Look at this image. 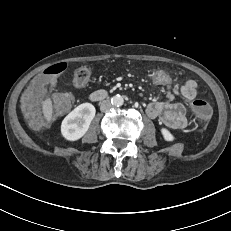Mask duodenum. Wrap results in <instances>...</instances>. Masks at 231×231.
<instances>
[{"label":"duodenum","mask_w":231,"mask_h":231,"mask_svg":"<svg viewBox=\"0 0 231 231\" xmlns=\"http://www.w3.org/2000/svg\"><path fill=\"white\" fill-rule=\"evenodd\" d=\"M107 96L108 94L105 90H97L90 95V99L92 101H101L104 100Z\"/></svg>","instance_id":"410a0bca"}]
</instances>
